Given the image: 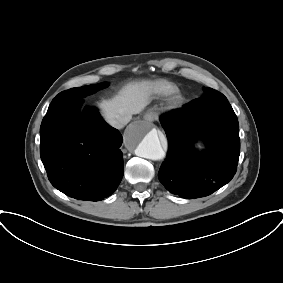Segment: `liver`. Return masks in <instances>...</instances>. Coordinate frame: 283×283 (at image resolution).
Here are the masks:
<instances>
[{
	"instance_id": "1",
	"label": "liver",
	"mask_w": 283,
	"mask_h": 283,
	"mask_svg": "<svg viewBox=\"0 0 283 283\" xmlns=\"http://www.w3.org/2000/svg\"><path fill=\"white\" fill-rule=\"evenodd\" d=\"M151 88L148 82L128 84L116 97L100 104L104 117L107 121L111 119L130 121L132 115L140 113L147 106Z\"/></svg>"
}]
</instances>
